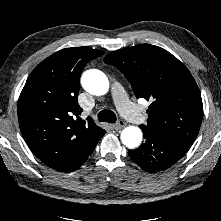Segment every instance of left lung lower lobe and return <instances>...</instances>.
<instances>
[{
    "instance_id": "left-lung-lower-lobe-1",
    "label": "left lung lower lobe",
    "mask_w": 221,
    "mask_h": 221,
    "mask_svg": "<svg viewBox=\"0 0 221 221\" xmlns=\"http://www.w3.org/2000/svg\"><path fill=\"white\" fill-rule=\"evenodd\" d=\"M145 138L139 148L128 151L130 158L147 172L170 168L187 152L189 146L141 128Z\"/></svg>"
}]
</instances>
